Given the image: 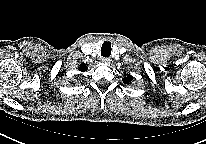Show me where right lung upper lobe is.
Instances as JSON below:
<instances>
[{
    "instance_id": "1",
    "label": "right lung upper lobe",
    "mask_w": 206,
    "mask_h": 144,
    "mask_svg": "<svg viewBox=\"0 0 206 144\" xmlns=\"http://www.w3.org/2000/svg\"><path fill=\"white\" fill-rule=\"evenodd\" d=\"M86 65H87V64L82 63V64L80 65V67H79V71L84 72L85 70H87V66H86Z\"/></svg>"
}]
</instances>
